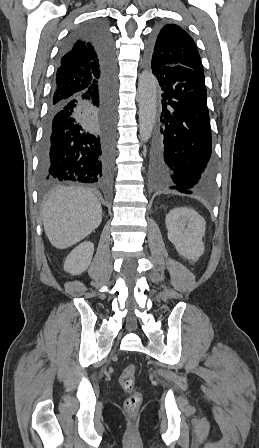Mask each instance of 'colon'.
Returning <instances> with one entry per match:
<instances>
[{
  "mask_svg": "<svg viewBox=\"0 0 259 448\" xmlns=\"http://www.w3.org/2000/svg\"><path fill=\"white\" fill-rule=\"evenodd\" d=\"M136 366L134 364L127 365L120 376V384L122 388L129 394L124 402L125 410L130 415H135L142 402V395L135 387Z\"/></svg>",
  "mask_w": 259,
  "mask_h": 448,
  "instance_id": "1",
  "label": "colon"
}]
</instances>
